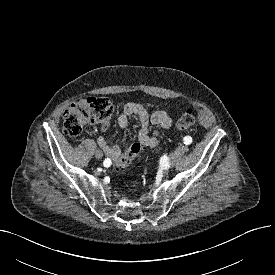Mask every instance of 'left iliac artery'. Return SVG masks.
Listing matches in <instances>:
<instances>
[{"mask_svg":"<svg viewBox=\"0 0 275 275\" xmlns=\"http://www.w3.org/2000/svg\"><path fill=\"white\" fill-rule=\"evenodd\" d=\"M183 141H184V144L189 145L192 143V138L190 136H185Z\"/></svg>","mask_w":275,"mask_h":275,"instance_id":"44dca946","label":"left iliac artery"}]
</instances>
